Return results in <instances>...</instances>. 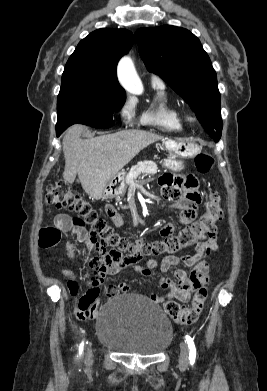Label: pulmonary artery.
Returning <instances> with one entry per match:
<instances>
[{
    "label": "pulmonary artery",
    "mask_w": 267,
    "mask_h": 391,
    "mask_svg": "<svg viewBox=\"0 0 267 391\" xmlns=\"http://www.w3.org/2000/svg\"><path fill=\"white\" fill-rule=\"evenodd\" d=\"M151 81L154 86H163L162 81L156 76H152Z\"/></svg>",
    "instance_id": "e3ab8cb5"
}]
</instances>
